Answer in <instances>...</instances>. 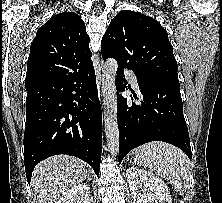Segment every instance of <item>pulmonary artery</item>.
<instances>
[{
    "label": "pulmonary artery",
    "instance_id": "1",
    "mask_svg": "<svg viewBox=\"0 0 222 203\" xmlns=\"http://www.w3.org/2000/svg\"><path fill=\"white\" fill-rule=\"evenodd\" d=\"M126 76L130 79L132 85L137 88L138 87V82H137V77L136 75L131 71V70H126L125 71Z\"/></svg>",
    "mask_w": 222,
    "mask_h": 203
}]
</instances>
